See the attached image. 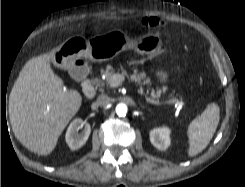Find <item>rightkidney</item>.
<instances>
[{
    "mask_svg": "<svg viewBox=\"0 0 245 187\" xmlns=\"http://www.w3.org/2000/svg\"><path fill=\"white\" fill-rule=\"evenodd\" d=\"M79 129H83L81 133H78ZM91 132L90 125L83 122L81 119L73 120L66 132V142L71 150H77L81 148L87 141Z\"/></svg>",
    "mask_w": 245,
    "mask_h": 187,
    "instance_id": "ca27d5eb",
    "label": "right kidney"
}]
</instances>
